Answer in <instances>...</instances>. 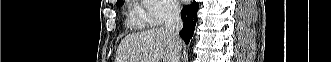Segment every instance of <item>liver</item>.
I'll return each instance as SVG.
<instances>
[{"label":"liver","mask_w":331,"mask_h":62,"mask_svg":"<svg viewBox=\"0 0 331 62\" xmlns=\"http://www.w3.org/2000/svg\"><path fill=\"white\" fill-rule=\"evenodd\" d=\"M182 43L175 44L163 27L127 35L119 44L115 62H178Z\"/></svg>","instance_id":"liver-1"}]
</instances>
